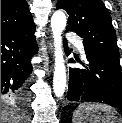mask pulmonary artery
I'll list each match as a JSON object with an SVG mask.
<instances>
[{"label":"pulmonary artery","mask_w":122,"mask_h":123,"mask_svg":"<svg viewBox=\"0 0 122 123\" xmlns=\"http://www.w3.org/2000/svg\"><path fill=\"white\" fill-rule=\"evenodd\" d=\"M67 38H68V40H70L71 42H74L77 45L79 51L84 56V54H85L84 46H83V43L81 42V40L79 39V37L73 33H69L67 35Z\"/></svg>","instance_id":"1"}]
</instances>
